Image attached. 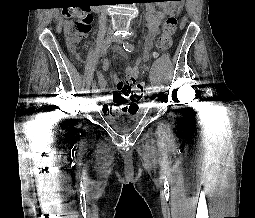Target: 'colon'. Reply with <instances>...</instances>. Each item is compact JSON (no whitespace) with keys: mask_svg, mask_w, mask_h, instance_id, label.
<instances>
[{"mask_svg":"<svg viewBox=\"0 0 255 218\" xmlns=\"http://www.w3.org/2000/svg\"><path fill=\"white\" fill-rule=\"evenodd\" d=\"M174 5V12L167 18L162 33L159 37L158 46L160 49L168 48L176 31L177 17L181 13V3L183 0H167ZM66 19L64 23L65 37L71 49H74L79 41L86 36L91 29L92 16L82 7H69L63 11ZM125 91L131 97L140 96L143 92V84L136 82L130 86L124 87ZM135 110V108H134ZM126 111L125 106L121 107L120 112ZM127 111H130L129 107Z\"/></svg>","mask_w":255,"mask_h":218,"instance_id":"5ec220e1","label":"colon"}]
</instances>
